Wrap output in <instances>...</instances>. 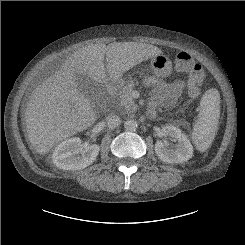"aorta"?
Returning a JSON list of instances; mask_svg holds the SVG:
<instances>
[{
    "instance_id": "1",
    "label": "aorta",
    "mask_w": 245,
    "mask_h": 245,
    "mask_svg": "<svg viewBox=\"0 0 245 245\" xmlns=\"http://www.w3.org/2000/svg\"><path fill=\"white\" fill-rule=\"evenodd\" d=\"M138 123L134 119H128L124 122V128L126 131H135L137 129Z\"/></svg>"
}]
</instances>
